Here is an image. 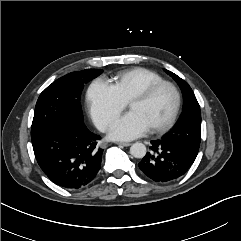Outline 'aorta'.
I'll use <instances>...</instances> for the list:
<instances>
[{
	"mask_svg": "<svg viewBox=\"0 0 241 241\" xmlns=\"http://www.w3.org/2000/svg\"><path fill=\"white\" fill-rule=\"evenodd\" d=\"M146 152V146L140 142H136L130 147V153L135 158H143L146 155Z\"/></svg>",
	"mask_w": 241,
	"mask_h": 241,
	"instance_id": "aorta-1",
	"label": "aorta"
}]
</instances>
